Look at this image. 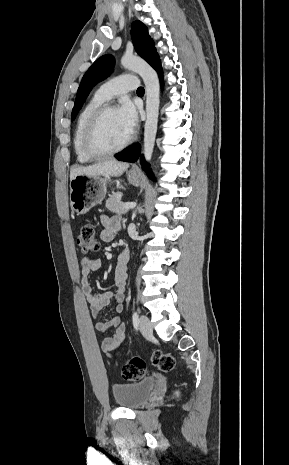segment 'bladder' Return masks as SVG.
I'll use <instances>...</instances> for the list:
<instances>
[{
	"mask_svg": "<svg viewBox=\"0 0 289 465\" xmlns=\"http://www.w3.org/2000/svg\"><path fill=\"white\" fill-rule=\"evenodd\" d=\"M154 378H145L133 383H119L112 386L116 404L123 408H138L144 405L156 387Z\"/></svg>",
	"mask_w": 289,
	"mask_h": 465,
	"instance_id": "1",
	"label": "bladder"
}]
</instances>
